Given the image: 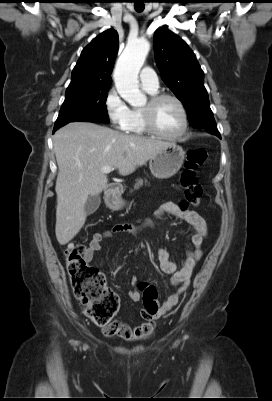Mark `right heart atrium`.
<instances>
[{"label":"right heart atrium","mask_w":272,"mask_h":401,"mask_svg":"<svg viewBox=\"0 0 272 401\" xmlns=\"http://www.w3.org/2000/svg\"><path fill=\"white\" fill-rule=\"evenodd\" d=\"M104 108L112 125L125 131L131 117V109L114 87L105 95Z\"/></svg>","instance_id":"obj_1"}]
</instances>
